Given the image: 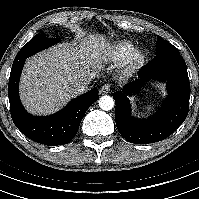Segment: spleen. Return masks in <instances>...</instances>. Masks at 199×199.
I'll return each instance as SVG.
<instances>
[{"instance_id":"obj_1","label":"spleen","mask_w":199,"mask_h":199,"mask_svg":"<svg viewBox=\"0 0 199 199\" xmlns=\"http://www.w3.org/2000/svg\"><path fill=\"white\" fill-rule=\"evenodd\" d=\"M146 109H147L148 111H151V110L153 109V107H152L151 105H147Z\"/></svg>"}]
</instances>
